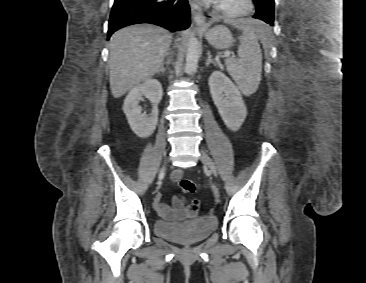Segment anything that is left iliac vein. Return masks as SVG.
<instances>
[{
    "instance_id": "4c4485c4",
    "label": "left iliac vein",
    "mask_w": 366,
    "mask_h": 283,
    "mask_svg": "<svg viewBox=\"0 0 366 283\" xmlns=\"http://www.w3.org/2000/svg\"><path fill=\"white\" fill-rule=\"evenodd\" d=\"M201 160L210 169V171L215 176H217V170H216V167L214 165V162L204 150H201Z\"/></svg>"
}]
</instances>
